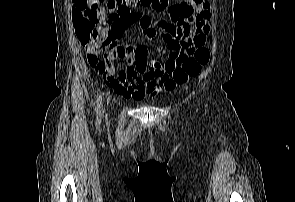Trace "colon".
Listing matches in <instances>:
<instances>
[{"mask_svg": "<svg viewBox=\"0 0 295 202\" xmlns=\"http://www.w3.org/2000/svg\"><path fill=\"white\" fill-rule=\"evenodd\" d=\"M134 4L163 8L166 6L167 0H107L106 9L108 15L100 25L92 23L82 14L75 12V27L80 42L91 49L93 47H106L109 37L102 35L100 29L111 27L115 19L128 18L132 14L131 7ZM209 59V51L202 46L181 52L174 64L170 63L167 65L165 71L166 80L163 86L167 90H172L177 85L188 83L200 74L203 67L208 64ZM100 69L102 70V68ZM108 77L113 76L108 75Z\"/></svg>", "mask_w": 295, "mask_h": 202, "instance_id": "1", "label": "colon"}]
</instances>
